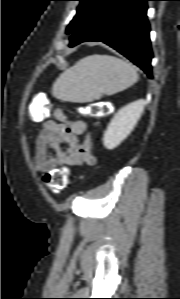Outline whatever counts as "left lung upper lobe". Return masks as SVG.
<instances>
[{
	"mask_svg": "<svg viewBox=\"0 0 180 299\" xmlns=\"http://www.w3.org/2000/svg\"><path fill=\"white\" fill-rule=\"evenodd\" d=\"M80 1V4L77 8V13L73 20L70 22L69 26L66 29V33H74L78 26L81 24L82 20L84 19L86 13L92 7V5L97 0H77Z\"/></svg>",
	"mask_w": 180,
	"mask_h": 299,
	"instance_id": "1",
	"label": "left lung upper lobe"
}]
</instances>
